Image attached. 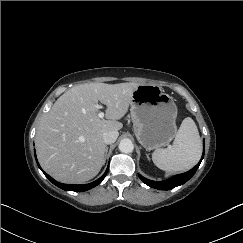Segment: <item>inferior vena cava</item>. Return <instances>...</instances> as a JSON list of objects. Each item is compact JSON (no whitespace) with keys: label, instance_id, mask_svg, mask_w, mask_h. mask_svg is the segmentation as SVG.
<instances>
[{"label":"inferior vena cava","instance_id":"602c4592","mask_svg":"<svg viewBox=\"0 0 243 243\" xmlns=\"http://www.w3.org/2000/svg\"><path fill=\"white\" fill-rule=\"evenodd\" d=\"M117 137H118V132L107 131L103 134V141L105 144H112L116 141Z\"/></svg>","mask_w":243,"mask_h":243}]
</instances>
